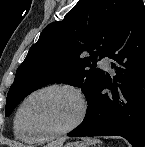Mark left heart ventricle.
<instances>
[{"instance_id": "obj_1", "label": "left heart ventricle", "mask_w": 145, "mask_h": 147, "mask_svg": "<svg viewBox=\"0 0 145 147\" xmlns=\"http://www.w3.org/2000/svg\"><path fill=\"white\" fill-rule=\"evenodd\" d=\"M78 112V100L70 92H43L26 103L21 115L22 131L34 135L62 129L76 118Z\"/></svg>"}]
</instances>
